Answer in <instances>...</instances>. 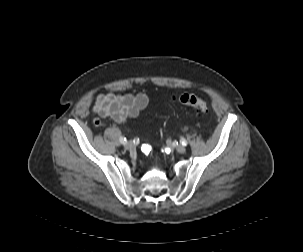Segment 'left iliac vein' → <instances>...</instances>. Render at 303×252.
Wrapping results in <instances>:
<instances>
[{
  "label": "left iliac vein",
  "mask_w": 303,
  "mask_h": 252,
  "mask_svg": "<svg viewBox=\"0 0 303 252\" xmlns=\"http://www.w3.org/2000/svg\"><path fill=\"white\" fill-rule=\"evenodd\" d=\"M175 148H176V151L180 154H184L186 151L185 147L182 145L175 146Z\"/></svg>",
  "instance_id": "1"
}]
</instances>
